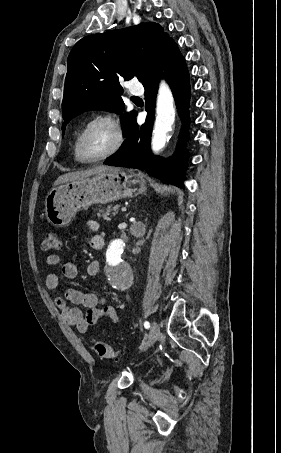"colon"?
I'll list each match as a JSON object with an SVG mask.
<instances>
[{
  "label": "colon",
  "mask_w": 281,
  "mask_h": 453,
  "mask_svg": "<svg viewBox=\"0 0 281 453\" xmlns=\"http://www.w3.org/2000/svg\"><path fill=\"white\" fill-rule=\"evenodd\" d=\"M60 233L58 230H48L42 242V250L44 252H57L60 249ZM93 350L96 355L105 361H116L117 356L115 350L104 342H95Z\"/></svg>",
  "instance_id": "colon-1"
}]
</instances>
